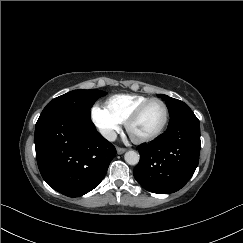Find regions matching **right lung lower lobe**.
<instances>
[{"instance_id": "obj_1", "label": "right lung lower lobe", "mask_w": 243, "mask_h": 243, "mask_svg": "<svg viewBox=\"0 0 243 243\" xmlns=\"http://www.w3.org/2000/svg\"><path fill=\"white\" fill-rule=\"evenodd\" d=\"M35 148L43 179L69 197L97 187L116 155L115 147L96 131L91 119L67 114L37 121Z\"/></svg>"}]
</instances>
